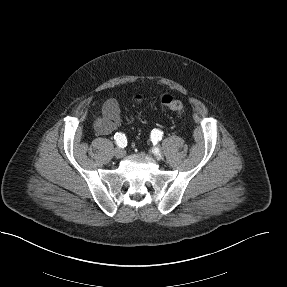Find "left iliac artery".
I'll list each match as a JSON object with an SVG mask.
<instances>
[{
  "label": "left iliac artery",
  "mask_w": 287,
  "mask_h": 287,
  "mask_svg": "<svg viewBox=\"0 0 287 287\" xmlns=\"http://www.w3.org/2000/svg\"><path fill=\"white\" fill-rule=\"evenodd\" d=\"M163 132L158 129H153L151 132V140L153 143H157L162 139Z\"/></svg>",
  "instance_id": "obj_1"
}]
</instances>
